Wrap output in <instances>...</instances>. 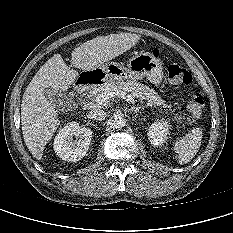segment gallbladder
<instances>
[{"mask_svg":"<svg viewBox=\"0 0 233 233\" xmlns=\"http://www.w3.org/2000/svg\"><path fill=\"white\" fill-rule=\"evenodd\" d=\"M44 95L57 110H66L71 105V100L63 92L48 88L44 90Z\"/></svg>","mask_w":233,"mask_h":233,"instance_id":"obj_1","label":"gallbladder"}]
</instances>
